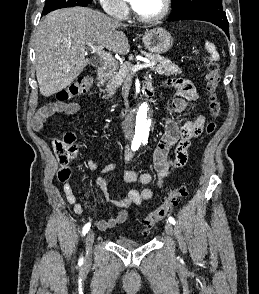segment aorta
Listing matches in <instances>:
<instances>
[{
  "label": "aorta",
  "instance_id": "obj_1",
  "mask_svg": "<svg viewBox=\"0 0 259 294\" xmlns=\"http://www.w3.org/2000/svg\"><path fill=\"white\" fill-rule=\"evenodd\" d=\"M152 122L151 107L144 103L130 114L126 130L131 138L147 141L152 134Z\"/></svg>",
  "mask_w": 259,
  "mask_h": 294
}]
</instances>
